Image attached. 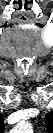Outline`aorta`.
I'll use <instances>...</instances> for the list:
<instances>
[{"mask_svg": "<svg viewBox=\"0 0 53 133\" xmlns=\"http://www.w3.org/2000/svg\"><path fill=\"white\" fill-rule=\"evenodd\" d=\"M21 127L24 129V132H26V133L31 130L29 126L22 125Z\"/></svg>", "mask_w": 53, "mask_h": 133, "instance_id": "762f6f07", "label": "aorta"}]
</instances>
